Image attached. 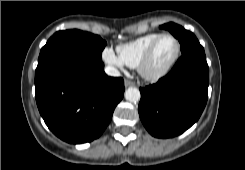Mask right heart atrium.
Returning a JSON list of instances; mask_svg holds the SVG:
<instances>
[{
  "label": "right heart atrium",
  "instance_id": "right-heart-atrium-1",
  "mask_svg": "<svg viewBox=\"0 0 245 170\" xmlns=\"http://www.w3.org/2000/svg\"><path fill=\"white\" fill-rule=\"evenodd\" d=\"M103 60L114 67L121 68L123 66V62L120 60L118 56L115 55L112 49L105 48L102 53Z\"/></svg>",
  "mask_w": 245,
  "mask_h": 170
}]
</instances>
